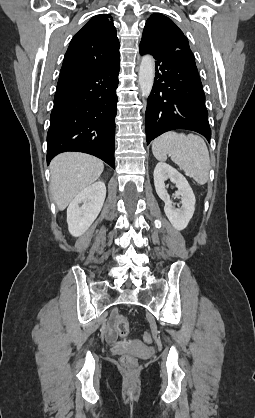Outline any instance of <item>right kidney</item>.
Returning <instances> with one entry per match:
<instances>
[{"label": "right kidney", "mask_w": 255, "mask_h": 418, "mask_svg": "<svg viewBox=\"0 0 255 418\" xmlns=\"http://www.w3.org/2000/svg\"><path fill=\"white\" fill-rule=\"evenodd\" d=\"M106 197L104 182L88 186L72 200L67 209V224L70 234L81 236L99 215Z\"/></svg>", "instance_id": "ca27d5eb"}]
</instances>
